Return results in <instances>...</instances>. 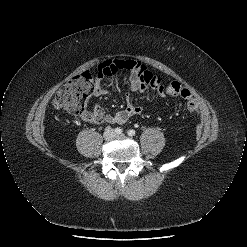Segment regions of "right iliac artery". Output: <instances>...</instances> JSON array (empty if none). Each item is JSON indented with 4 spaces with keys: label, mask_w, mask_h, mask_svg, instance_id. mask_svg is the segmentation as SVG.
<instances>
[{
    "label": "right iliac artery",
    "mask_w": 247,
    "mask_h": 247,
    "mask_svg": "<svg viewBox=\"0 0 247 247\" xmlns=\"http://www.w3.org/2000/svg\"><path fill=\"white\" fill-rule=\"evenodd\" d=\"M116 134H121L122 133V129L120 127H117L114 129Z\"/></svg>",
    "instance_id": "right-iliac-artery-1"
}]
</instances>
